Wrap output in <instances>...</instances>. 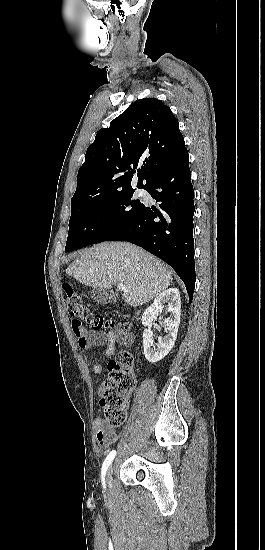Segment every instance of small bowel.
Listing matches in <instances>:
<instances>
[{"label":"small bowel","instance_id":"c3829d8e","mask_svg":"<svg viewBox=\"0 0 265 550\" xmlns=\"http://www.w3.org/2000/svg\"><path fill=\"white\" fill-rule=\"evenodd\" d=\"M77 338L78 345L82 349H90L101 345H106L105 355L112 356L115 351V345L121 344L124 346H131L133 344V336L131 333L124 330L113 331H99L89 330L84 327H75L73 329ZM93 374L97 377L98 391H102V383L100 376L103 371V367L100 363H93L91 366ZM95 435L101 446L107 447L117 438L116 432L113 428L107 427L104 420L98 416L94 420Z\"/></svg>","mask_w":265,"mask_h":550}]
</instances>
